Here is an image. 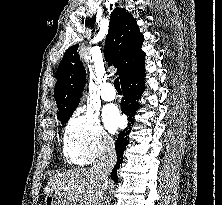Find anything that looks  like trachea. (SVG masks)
<instances>
[{"instance_id":"trachea-1","label":"trachea","mask_w":222,"mask_h":205,"mask_svg":"<svg viewBox=\"0 0 222 205\" xmlns=\"http://www.w3.org/2000/svg\"><path fill=\"white\" fill-rule=\"evenodd\" d=\"M114 87H115L116 90H121L120 82H119L118 78H116L115 81H114Z\"/></svg>"}]
</instances>
